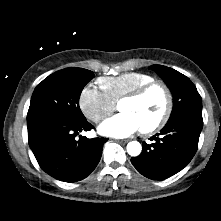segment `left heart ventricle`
<instances>
[{
  "mask_svg": "<svg viewBox=\"0 0 221 221\" xmlns=\"http://www.w3.org/2000/svg\"><path fill=\"white\" fill-rule=\"evenodd\" d=\"M165 99L160 89H154L138 100H127L119 104V110L134 115L141 128L156 122L163 113Z\"/></svg>",
  "mask_w": 221,
  "mask_h": 221,
  "instance_id": "b2bd125f",
  "label": "left heart ventricle"
}]
</instances>
